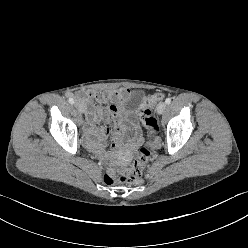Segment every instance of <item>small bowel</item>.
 Here are the masks:
<instances>
[{
    "mask_svg": "<svg viewBox=\"0 0 248 248\" xmlns=\"http://www.w3.org/2000/svg\"><path fill=\"white\" fill-rule=\"evenodd\" d=\"M133 94L129 88H118L106 92L88 90L78 94V99L87 111V122L84 128L86 146L99 154L112 156L124 155L132 151L142 140L139 128L134 120H125L118 103ZM93 100L102 106H96ZM103 121L104 125L97 124ZM111 137V146L107 138ZM124 145L126 148H124Z\"/></svg>",
    "mask_w": 248,
    "mask_h": 248,
    "instance_id": "obj_1",
    "label": "small bowel"
}]
</instances>
